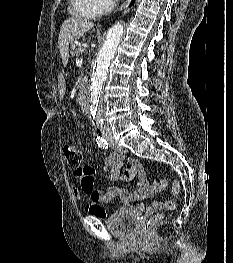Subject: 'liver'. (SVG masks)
<instances>
[{"instance_id": "obj_1", "label": "liver", "mask_w": 233, "mask_h": 263, "mask_svg": "<svg viewBox=\"0 0 233 263\" xmlns=\"http://www.w3.org/2000/svg\"><path fill=\"white\" fill-rule=\"evenodd\" d=\"M93 26V22L78 17L68 18L64 21L58 38V48L64 67H66L68 63L69 43L82 37L87 31L92 29Z\"/></svg>"}]
</instances>
